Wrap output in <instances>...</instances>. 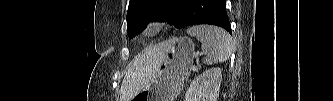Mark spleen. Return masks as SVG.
<instances>
[{"instance_id": "obj_1", "label": "spleen", "mask_w": 333, "mask_h": 101, "mask_svg": "<svg viewBox=\"0 0 333 101\" xmlns=\"http://www.w3.org/2000/svg\"><path fill=\"white\" fill-rule=\"evenodd\" d=\"M187 33L201 42V49L205 55L204 64L212 65L226 61L232 52L231 36L223 29L211 25L193 26Z\"/></svg>"}]
</instances>
